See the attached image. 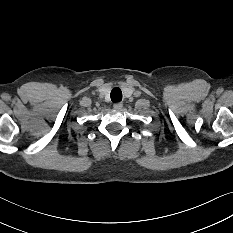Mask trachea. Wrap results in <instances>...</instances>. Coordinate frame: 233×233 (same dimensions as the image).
Returning <instances> with one entry per match:
<instances>
[{"mask_svg":"<svg viewBox=\"0 0 233 233\" xmlns=\"http://www.w3.org/2000/svg\"><path fill=\"white\" fill-rule=\"evenodd\" d=\"M111 100L112 102H119L122 100V92L119 88H114L111 91Z\"/></svg>","mask_w":233,"mask_h":233,"instance_id":"obj_1","label":"trachea"}]
</instances>
